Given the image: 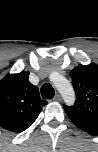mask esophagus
<instances>
[{"label":"esophagus","instance_id":"34e87169","mask_svg":"<svg viewBox=\"0 0 98 152\" xmlns=\"http://www.w3.org/2000/svg\"><path fill=\"white\" fill-rule=\"evenodd\" d=\"M61 100H62L61 95L59 93H57L54 97V101L60 102Z\"/></svg>","mask_w":98,"mask_h":152}]
</instances>
